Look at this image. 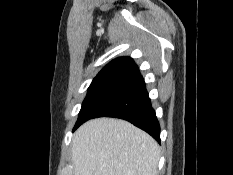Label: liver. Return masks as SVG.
Segmentation results:
<instances>
[{
  "label": "liver",
  "instance_id": "obj_1",
  "mask_svg": "<svg viewBox=\"0 0 233 175\" xmlns=\"http://www.w3.org/2000/svg\"><path fill=\"white\" fill-rule=\"evenodd\" d=\"M158 143L131 123L89 120L72 139L74 175H157Z\"/></svg>",
  "mask_w": 233,
  "mask_h": 175
}]
</instances>
